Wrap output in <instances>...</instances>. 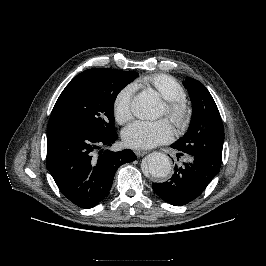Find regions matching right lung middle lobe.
<instances>
[{"mask_svg":"<svg viewBox=\"0 0 266 266\" xmlns=\"http://www.w3.org/2000/svg\"><path fill=\"white\" fill-rule=\"evenodd\" d=\"M137 76L134 71L103 68L80 73L60 94L48 125H68L96 134L113 132L115 98Z\"/></svg>","mask_w":266,"mask_h":266,"instance_id":"obj_1","label":"right lung middle lobe"}]
</instances>
